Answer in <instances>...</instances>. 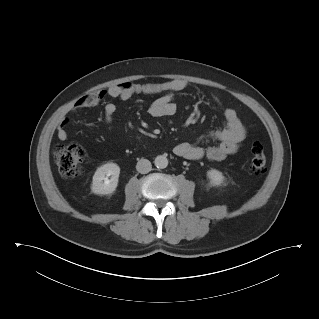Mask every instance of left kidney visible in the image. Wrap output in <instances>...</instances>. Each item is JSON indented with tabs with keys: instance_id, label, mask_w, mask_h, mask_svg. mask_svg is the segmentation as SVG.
Returning a JSON list of instances; mask_svg holds the SVG:
<instances>
[{
	"instance_id": "1",
	"label": "left kidney",
	"mask_w": 319,
	"mask_h": 319,
	"mask_svg": "<svg viewBox=\"0 0 319 319\" xmlns=\"http://www.w3.org/2000/svg\"><path fill=\"white\" fill-rule=\"evenodd\" d=\"M207 176L210 179L211 184L215 186H220L225 182V177L223 176L222 172L211 169L207 172Z\"/></svg>"
}]
</instances>
